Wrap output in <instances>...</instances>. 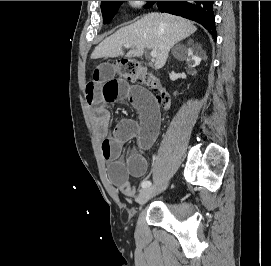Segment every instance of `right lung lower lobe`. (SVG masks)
Here are the masks:
<instances>
[{
	"instance_id": "obj_1",
	"label": "right lung lower lobe",
	"mask_w": 271,
	"mask_h": 266,
	"mask_svg": "<svg viewBox=\"0 0 271 266\" xmlns=\"http://www.w3.org/2000/svg\"><path fill=\"white\" fill-rule=\"evenodd\" d=\"M161 12L182 16L204 26L216 40L214 1H156Z\"/></svg>"
}]
</instances>
